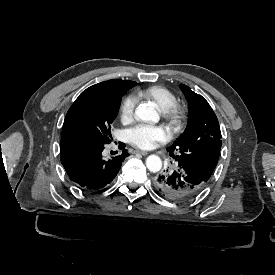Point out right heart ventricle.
<instances>
[{"label":"right heart ventricle","instance_id":"obj_1","mask_svg":"<svg viewBox=\"0 0 275 275\" xmlns=\"http://www.w3.org/2000/svg\"><path fill=\"white\" fill-rule=\"evenodd\" d=\"M138 95L154 100L163 109L176 102L173 93L160 85H152L141 89L138 91Z\"/></svg>","mask_w":275,"mask_h":275}]
</instances>
